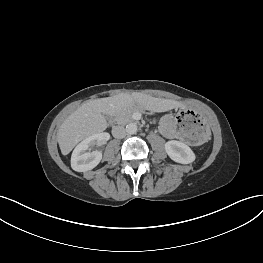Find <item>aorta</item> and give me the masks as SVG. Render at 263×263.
<instances>
[{
  "label": "aorta",
  "mask_w": 263,
  "mask_h": 263,
  "mask_svg": "<svg viewBox=\"0 0 263 263\" xmlns=\"http://www.w3.org/2000/svg\"><path fill=\"white\" fill-rule=\"evenodd\" d=\"M138 130L137 124L136 123H129L126 125V132L128 134H136Z\"/></svg>",
  "instance_id": "1"
}]
</instances>
